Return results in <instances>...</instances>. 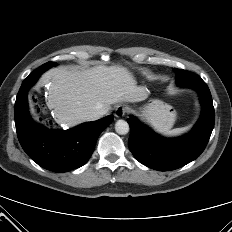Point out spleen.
Wrapping results in <instances>:
<instances>
[{
    "label": "spleen",
    "mask_w": 232,
    "mask_h": 232,
    "mask_svg": "<svg viewBox=\"0 0 232 232\" xmlns=\"http://www.w3.org/2000/svg\"><path fill=\"white\" fill-rule=\"evenodd\" d=\"M188 130H189L188 127L175 128L173 130L165 132L164 135L169 136V137H175V136L182 135L183 133H186Z\"/></svg>",
    "instance_id": "1"
}]
</instances>
